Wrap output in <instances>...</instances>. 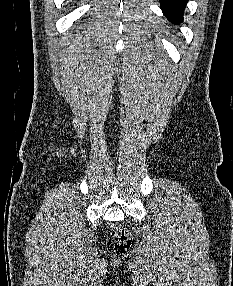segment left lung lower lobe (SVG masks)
Segmentation results:
<instances>
[{
  "mask_svg": "<svg viewBox=\"0 0 233 286\" xmlns=\"http://www.w3.org/2000/svg\"><path fill=\"white\" fill-rule=\"evenodd\" d=\"M188 0H160V7L169 21L178 24L183 21V12Z\"/></svg>",
  "mask_w": 233,
  "mask_h": 286,
  "instance_id": "obj_1",
  "label": "left lung lower lobe"
}]
</instances>
